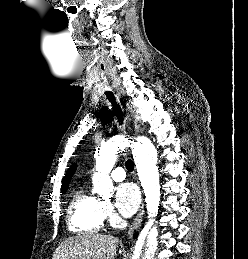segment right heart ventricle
I'll return each instance as SVG.
<instances>
[{"instance_id":"1","label":"right heart ventricle","mask_w":248,"mask_h":259,"mask_svg":"<svg viewBox=\"0 0 248 259\" xmlns=\"http://www.w3.org/2000/svg\"><path fill=\"white\" fill-rule=\"evenodd\" d=\"M67 221L69 229L73 232H98L104 221L102 202L80 187L70 201Z\"/></svg>"}]
</instances>
